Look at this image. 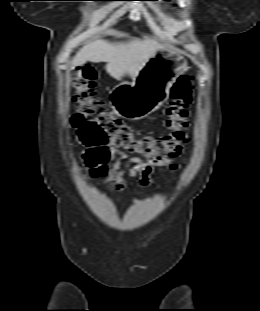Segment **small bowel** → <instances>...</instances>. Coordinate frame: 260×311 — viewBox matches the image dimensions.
<instances>
[{
	"label": "small bowel",
	"instance_id": "obj_1",
	"mask_svg": "<svg viewBox=\"0 0 260 311\" xmlns=\"http://www.w3.org/2000/svg\"><path fill=\"white\" fill-rule=\"evenodd\" d=\"M110 149L113 154L111 167L108 168L107 165H104L96 170H91L88 172V175L92 178H97L108 174L107 185L120 192L125 191L129 187V184L124 178L126 172L133 178L137 175H141L140 184L142 186H148L151 183V177L155 168L168 167L171 170H176L178 168L177 163L172 159L157 161L136 156L123 163L115 149L112 146Z\"/></svg>",
	"mask_w": 260,
	"mask_h": 311
}]
</instances>
